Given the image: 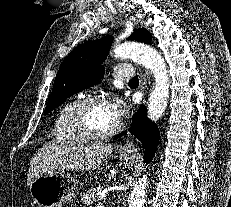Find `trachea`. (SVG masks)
<instances>
[{
	"label": "trachea",
	"mask_w": 231,
	"mask_h": 207,
	"mask_svg": "<svg viewBox=\"0 0 231 207\" xmlns=\"http://www.w3.org/2000/svg\"><path fill=\"white\" fill-rule=\"evenodd\" d=\"M129 83H139L138 76L136 75L133 79L129 81Z\"/></svg>",
	"instance_id": "trachea-1"
}]
</instances>
